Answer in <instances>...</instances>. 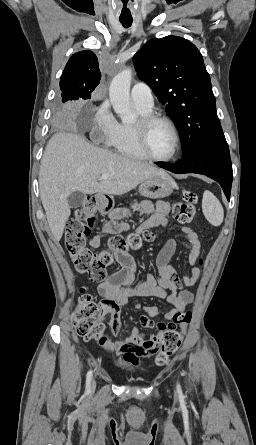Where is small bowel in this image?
<instances>
[{"label": "small bowel", "instance_id": "obj_1", "mask_svg": "<svg viewBox=\"0 0 256 445\" xmlns=\"http://www.w3.org/2000/svg\"><path fill=\"white\" fill-rule=\"evenodd\" d=\"M169 204L165 201L155 203V212L151 214L140 226V230H146L158 226L169 225L168 213ZM128 229L126 223H107L102 230L93 235L89 240L92 248L101 246L102 237L105 234L116 233ZM179 231L185 235L189 243L188 262L194 264L201 250V244L196 232L190 227H180ZM176 251V241L169 239L159 251L156 257L158 276L149 274L147 278L139 283L136 280V264L134 260L125 252L114 251L115 260L122 266V269L111 274L106 280L98 285V293L104 298L101 303L100 321L107 322L112 334H116L122 327L121 308L128 304L130 299L143 297H157L165 299L173 308L165 313L164 321L159 320L160 311L156 306H142L136 304L135 308L141 310L139 318L140 326L132 329L130 336L120 339L116 343L106 341L104 348L107 352L123 354V360L134 366H140V357L152 354L162 338V334L169 328H175V317L183 313L187 305L193 302L194 295L186 289L193 286L199 275L200 269L193 268L190 275H177L169 262ZM110 314L108 318L107 315ZM142 328H157V334H147L141 331ZM182 333L185 327H180Z\"/></svg>", "mask_w": 256, "mask_h": 445}]
</instances>
